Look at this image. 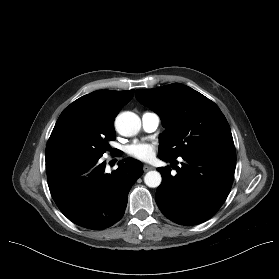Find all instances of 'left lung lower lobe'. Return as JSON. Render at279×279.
<instances>
[{"label": "left lung lower lobe", "instance_id": "obj_1", "mask_svg": "<svg viewBox=\"0 0 279 279\" xmlns=\"http://www.w3.org/2000/svg\"><path fill=\"white\" fill-rule=\"evenodd\" d=\"M181 157L184 161L181 167H176V176L171 175L170 167L157 169L162 183L156 191V203L177 224H200L211 218L226 200L234 179L236 153L201 151Z\"/></svg>", "mask_w": 279, "mask_h": 279}]
</instances>
